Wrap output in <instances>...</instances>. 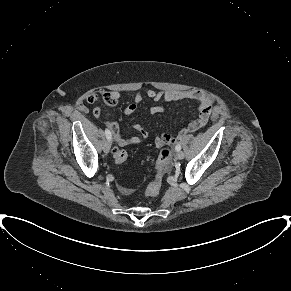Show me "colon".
<instances>
[{
	"label": "colon",
	"instance_id": "5ec220e1",
	"mask_svg": "<svg viewBox=\"0 0 291 291\" xmlns=\"http://www.w3.org/2000/svg\"><path fill=\"white\" fill-rule=\"evenodd\" d=\"M104 102L109 105H115L117 98L113 95V92L105 93L103 96ZM171 156V149L167 146L161 148L157 163L156 174L154 180L149 184L145 191L146 197H154L160 193L162 186V177L168 168V162ZM113 160L116 164L124 163L128 158L126 150L115 148L112 153Z\"/></svg>",
	"mask_w": 291,
	"mask_h": 291
}]
</instances>
